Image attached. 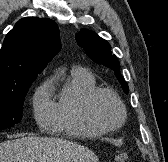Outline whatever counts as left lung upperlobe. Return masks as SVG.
Returning a JSON list of instances; mask_svg holds the SVG:
<instances>
[{
	"label": "left lung upper lobe",
	"mask_w": 168,
	"mask_h": 162,
	"mask_svg": "<svg viewBox=\"0 0 168 162\" xmlns=\"http://www.w3.org/2000/svg\"><path fill=\"white\" fill-rule=\"evenodd\" d=\"M77 44L84 49L89 58L101 64L115 73L124 92L128 93V85L120 74V64L117 57L112 54L109 43L100 38L96 33L87 29H81L75 35Z\"/></svg>",
	"instance_id": "obj_1"
}]
</instances>
